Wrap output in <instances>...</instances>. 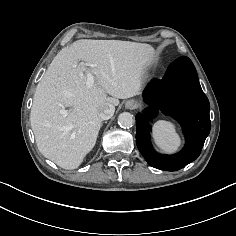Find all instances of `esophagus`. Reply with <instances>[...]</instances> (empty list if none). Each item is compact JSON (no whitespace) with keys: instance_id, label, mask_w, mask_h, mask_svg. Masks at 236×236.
I'll use <instances>...</instances> for the list:
<instances>
[{"instance_id":"esophagus-1","label":"esophagus","mask_w":236,"mask_h":236,"mask_svg":"<svg viewBox=\"0 0 236 236\" xmlns=\"http://www.w3.org/2000/svg\"><path fill=\"white\" fill-rule=\"evenodd\" d=\"M138 107H139V102L136 100H133V99L128 100L125 103V108H127V109H136Z\"/></svg>"}]
</instances>
